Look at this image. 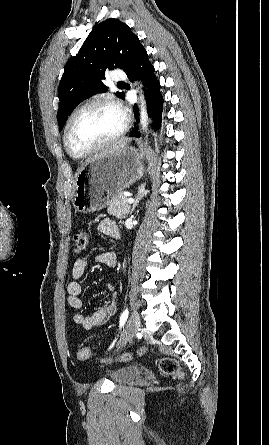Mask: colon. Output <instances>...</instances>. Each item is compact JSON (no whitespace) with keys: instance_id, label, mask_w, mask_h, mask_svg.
Wrapping results in <instances>:
<instances>
[{"instance_id":"colon-1","label":"colon","mask_w":269,"mask_h":445,"mask_svg":"<svg viewBox=\"0 0 269 445\" xmlns=\"http://www.w3.org/2000/svg\"><path fill=\"white\" fill-rule=\"evenodd\" d=\"M90 241V234L87 230L80 229L78 230L73 237L74 242V251L76 253H82L88 247ZM92 354V351L89 347H82L77 351V357L80 360H85L89 358ZM132 359V355L130 353H123L116 357H106V361H120V362H128ZM159 370L165 375H177L179 374L180 367L176 360L172 358H162L158 364Z\"/></svg>"}]
</instances>
